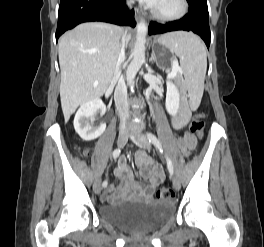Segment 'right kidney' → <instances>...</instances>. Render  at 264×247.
<instances>
[{"label":"right kidney","instance_id":"ca27d5eb","mask_svg":"<svg viewBox=\"0 0 264 247\" xmlns=\"http://www.w3.org/2000/svg\"><path fill=\"white\" fill-rule=\"evenodd\" d=\"M105 105L100 99L84 103L77 111L74 118V128L77 134L85 141H91L103 134L106 124L92 125L91 121L99 111H104Z\"/></svg>","mask_w":264,"mask_h":247}]
</instances>
